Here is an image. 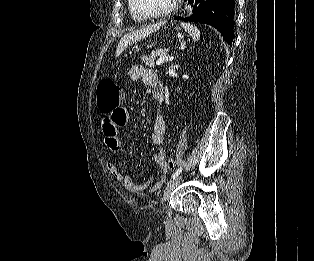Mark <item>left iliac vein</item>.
Listing matches in <instances>:
<instances>
[{"label": "left iliac vein", "instance_id": "obj_1", "mask_svg": "<svg viewBox=\"0 0 314 261\" xmlns=\"http://www.w3.org/2000/svg\"><path fill=\"white\" fill-rule=\"evenodd\" d=\"M181 177L177 176L170 180L168 184L165 187L164 193H163V200L168 201L169 197L172 193V191L177 187L178 183L180 182Z\"/></svg>", "mask_w": 314, "mask_h": 261}]
</instances>
